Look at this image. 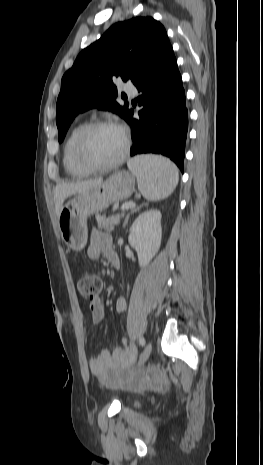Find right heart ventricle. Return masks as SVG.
<instances>
[{"label":"right heart ventricle","mask_w":263,"mask_h":465,"mask_svg":"<svg viewBox=\"0 0 263 465\" xmlns=\"http://www.w3.org/2000/svg\"><path fill=\"white\" fill-rule=\"evenodd\" d=\"M85 125V122L75 125L68 134L63 146V165L67 174L73 178H83L91 173L80 165L75 152L77 137Z\"/></svg>","instance_id":"e07e8e85"}]
</instances>
